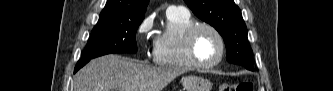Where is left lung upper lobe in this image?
Wrapping results in <instances>:
<instances>
[{
	"mask_svg": "<svg viewBox=\"0 0 333 91\" xmlns=\"http://www.w3.org/2000/svg\"><path fill=\"white\" fill-rule=\"evenodd\" d=\"M193 13L212 25L223 37L227 61L251 70L253 52L247 40V28L234 0H185Z\"/></svg>",
	"mask_w": 333,
	"mask_h": 91,
	"instance_id": "left-lung-upper-lobe-1",
	"label": "left lung upper lobe"
}]
</instances>
